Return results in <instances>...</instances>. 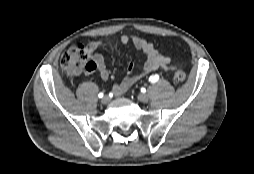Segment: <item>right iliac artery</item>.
<instances>
[{"instance_id":"82829eb1","label":"right iliac artery","mask_w":254,"mask_h":174,"mask_svg":"<svg viewBox=\"0 0 254 174\" xmlns=\"http://www.w3.org/2000/svg\"><path fill=\"white\" fill-rule=\"evenodd\" d=\"M98 97H99V98H102V97H103V93H99V94H98Z\"/></svg>"}]
</instances>
